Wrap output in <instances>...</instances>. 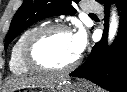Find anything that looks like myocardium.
Wrapping results in <instances>:
<instances>
[{"instance_id": "myocardium-1", "label": "myocardium", "mask_w": 127, "mask_h": 92, "mask_svg": "<svg viewBox=\"0 0 127 92\" xmlns=\"http://www.w3.org/2000/svg\"><path fill=\"white\" fill-rule=\"evenodd\" d=\"M56 31L67 32L72 34L71 28L66 24L52 23L38 27L26 38L22 48V59L25 65L32 71L38 73L63 74L70 72L80 63L79 55L68 65L59 68L46 66L37 59L35 54V48L39 41L49 33Z\"/></svg>"}]
</instances>
